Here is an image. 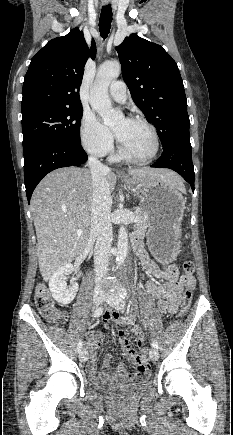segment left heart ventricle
Returning a JSON list of instances; mask_svg holds the SVG:
<instances>
[{"label":"left heart ventricle","instance_id":"left-heart-ventricle-1","mask_svg":"<svg viewBox=\"0 0 233 435\" xmlns=\"http://www.w3.org/2000/svg\"><path fill=\"white\" fill-rule=\"evenodd\" d=\"M112 129L130 156L144 159L152 153L153 137L144 124L122 118L115 122Z\"/></svg>","mask_w":233,"mask_h":435}]
</instances>
